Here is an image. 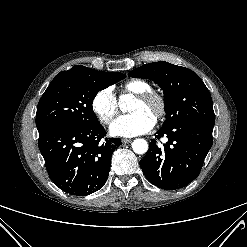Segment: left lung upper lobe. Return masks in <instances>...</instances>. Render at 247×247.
<instances>
[{
    "mask_svg": "<svg viewBox=\"0 0 247 247\" xmlns=\"http://www.w3.org/2000/svg\"><path fill=\"white\" fill-rule=\"evenodd\" d=\"M129 76L151 79L163 90L166 120L162 128L181 122L213 128L215 115L210 92L192 70L168 62H154L132 70Z\"/></svg>",
    "mask_w": 247,
    "mask_h": 247,
    "instance_id": "5c2ea615",
    "label": "left lung upper lobe"
}]
</instances>
